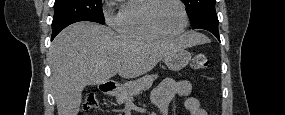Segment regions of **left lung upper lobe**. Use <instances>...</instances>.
Returning a JSON list of instances; mask_svg holds the SVG:
<instances>
[{
	"mask_svg": "<svg viewBox=\"0 0 285 115\" xmlns=\"http://www.w3.org/2000/svg\"><path fill=\"white\" fill-rule=\"evenodd\" d=\"M182 2L186 6L191 25L205 16L216 14L215 0H182Z\"/></svg>",
	"mask_w": 285,
	"mask_h": 115,
	"instance_id": "left-lung-upper-lobe-1",
	"label": "left lung upper lobe"
}]
</instances>
